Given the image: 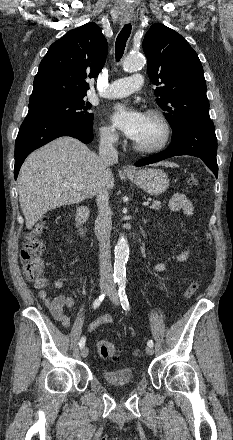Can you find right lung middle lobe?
Returning a JSON list of instances; mask_svg holds the SVG:
<instances>
[{
	"label": "right lung middle lobe",
	"instance_id": "dd1d6c3e",
	"mask_svg": "<svg viewBox=\"0 0 233 440\" xmlns=\"http://www.w3.org/2000/svg\"><path fill=\"white\" fill-rule=\"evenodd\" d=\"M89 108H91V104L86 103L83 97L55 98L29 104L27 115H46L73 121L92 131L93 114L87 111Z\"/></svg>",
	"mask_w": 233,
	"mask_h": 440
}]
</instances>
